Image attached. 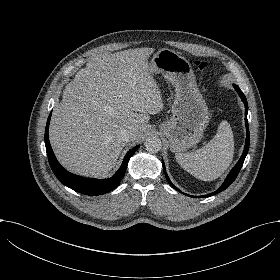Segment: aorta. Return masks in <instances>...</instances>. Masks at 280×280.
Returning a JSON list of instances; mask_svg holds the SVG:
<instances>
[{
    "instance_id": "1",
    "label": "aorta",
    "mask_w": 280,
    "mask_h": 280,
    "mask_svg": "<svg viewBox=\"0 0 280 280\" xmlns=\"http://www.w3.org/2000/svg\"><path fill=\"white\" fill-rule=\"evenodd\" d=\"M146 150L150 153H157L162 148L161 139L157 136H149L144 142Z\"/></svg>"
}]
</instances>
